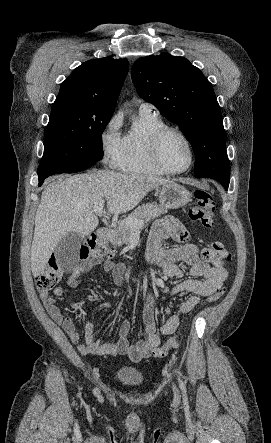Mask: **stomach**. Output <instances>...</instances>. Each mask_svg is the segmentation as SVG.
<instances>
[{"label": "stomach", "instance_id": "1", "mask_svg": "<svg viewBox=\"0 0 271 443\" xmlns=\"http://www.w3.org/2000/svg\"><path fill=\"white\" fill-rule=\"evenodd\" d=\"M191 198L190 192L175 182H168L160 188L159 202L163 208H182L191 202Z\"/></svg>", "mask_w": 271, "mask_h": 443}]
</instances>
